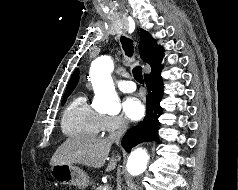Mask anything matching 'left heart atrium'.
I'll return each instance as SVG.
<instances>
[{"label":"left heart atrium","mask_w":238,"mask_h":190,"mask_svg":"<svg viewBox=\"0 0 238 190\" xmlns=\"http://www.w3.org/2000/svg\"><path fill=\"white\" fill-rule=\"evenodd\" d=\"M123 111L130 120L136 121L143 117L145 107L139 98L131 96L123 102Z\"/></svg>","instance_id":"obj_1"}]
</instances>
